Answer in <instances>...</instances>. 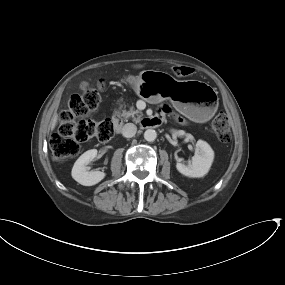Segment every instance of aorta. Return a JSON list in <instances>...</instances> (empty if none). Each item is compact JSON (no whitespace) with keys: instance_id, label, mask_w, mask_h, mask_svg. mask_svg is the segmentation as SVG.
<instances>
[{"instance_id":"aorta-1","label":"aorta","mask_w":285,"mask_h":285,"mask_svg":"<svg viewBox=\"0 0 285 285\" xmlns=\"http://www.w3.org/2000/svg\"><path fill=\"white\" fill-rule=\"evenodd\" d=\"M157 137V132L153 129H147L144 132V139L148 142H153Z\"/></svg>"}]
</instances>
